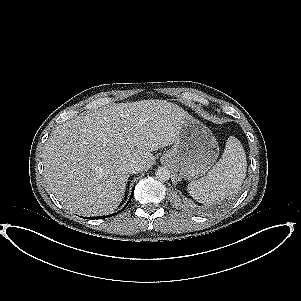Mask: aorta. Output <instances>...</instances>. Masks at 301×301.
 I'll use <instances>...</instances> for the list:
<instances>
[{
	"label": "aorta",
	"instance_id": "762f6f07",
	"mask_svg": "<svg viewBox=\"0 0 301 301\" xmlns=\"http://www.w3.org/2000/svg\"><path fill=\"white\" fill-rule=\"evenodd\" d=\"M156 178L161 181L165 182L170 179L171 172L167 167H159L155 172Z\"/></svg>",
	"mask_w": 301,
	"mask_h": 301
}]
</instances>
